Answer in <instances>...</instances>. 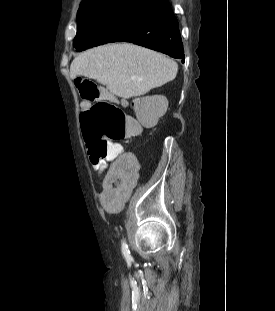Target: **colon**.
I'll return each instance as SVG.
<instances>
[{
    "label": "colon",
    "mask_w": 275,
    "mask_h": 311,
    "mask_svg": "<svg viewBox=\"0 0 275 311\" xmlns=\"http://www.w3.org/2000/svg\"><path fill=\"white\" fill-rule=\"evenodd\" d=\"M75 83L82 101H96L81 113L84 139L94 159L117 157L121 153L120 140L138 135L140 126H151L158 118L149 100L132 102L130 107L137 117L133 120L121 108L103 98V92L91 80L78 78Z\"/></svg>",
    "instance_id": "5ec220e1"
}]
</instances>
